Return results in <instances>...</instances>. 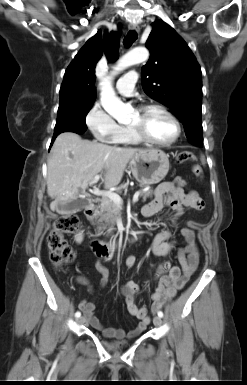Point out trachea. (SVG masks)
<instances>
[{
  "instance_id": "1",
  "label": "trachea",
  "mask_w": 247,
  "mask_h": 385,
  "mask_svg": "<svg viewBox=\"0 0 247 385\" xmlns=\"http://www.w3.org/2000/svg\"><path fill=\"white\" fill-rule=\"evenodd\" d=\"M137 39L136 31L130 30L124 38V45L130 47Z\"/></svg>"
}]
</instances>
